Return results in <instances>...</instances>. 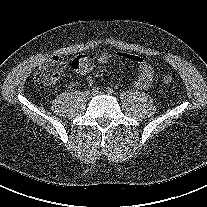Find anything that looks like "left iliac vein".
<instances>
[{
    "label": "left iliac vein",
    "instance_id": "obj_1",
    "mask_svg": "<svg viewBox=\"0 0 207 207\" xmlns=\"http://www.w3.org/2000/svg\"><path fill=\"white\" fill-rule=\"evenodd\" d=\"M97 95H102L103 94V92H98V93H96Z\"/></svg>",
    "mask_w": 207,
    "mask_h": 207
}]
</instances>
